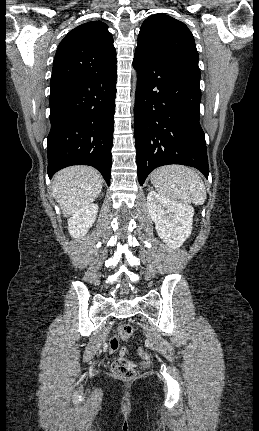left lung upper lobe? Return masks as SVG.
I'll use <instances>...</instances> for the list:
<instances>
[{
  "instance_id": "obj_1",
  "label": "left lung upper lobe",
  "mask_w": 259,
  "mask_h": 431,
  "mask_svg": "<svg viewBox=\"0 0 259 431\" xmlns=\"http://www.w3.org/2000/svg\"><path fill=\"white\" fill-rule=\"evenodd\" d=\"M136 49L174 68L199 77L194 37L181 21L164 14L147 18L140 29Z\"/></svg>"
}]
</instances>
